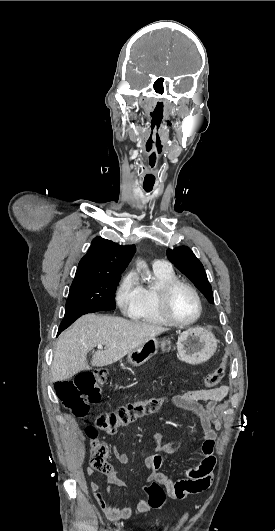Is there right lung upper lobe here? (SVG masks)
Listing matches in <instances>:
<instances>
[{"label": "right lung upper lobe", "instance_id": "1", "mask_svg": "<svg viewBox=\"0 0 275 531\" xmlns=\"http://www.w3.org/2000/svg\"><path fill=\"white\" fill-rule=\"evenodd\" d=\"M135 245L121 246L102 237L93 239L87 254L79 262L75 278L96 275H120L130 262Z\"/></svg>", "mask_w": 275, "mask_h": 531}]
</instances>
